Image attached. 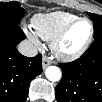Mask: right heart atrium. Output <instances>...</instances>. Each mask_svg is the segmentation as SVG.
Masks as SVG:
<instances>
[{"instance_id": "1", "label": "right heart atrium", "mask_w": 102, "mask_h": 102, "mask_svg": "<svg viewBox=\"0 0 102 102\" xmlns=\"http://www.w3.org/2000/svg\"><path fill=\"white\" fill-rule=\"evenodd\" d=\"M25 31H26V34H27L28 38L31 41H33V43L35 45H37L38 47H42L40 39L38 38V36L32 30H30L29 28H25Z\"/></svg>"}]
</instances>
